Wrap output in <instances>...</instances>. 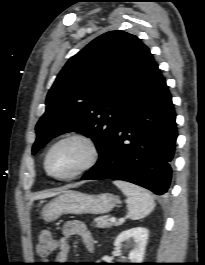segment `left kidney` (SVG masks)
Listing matches in <instances>:
<instances>
[{"label": "left kidney", "instance_id": "1", "mask_svg": "<svg viewBox=\"0 0 205 265\" xmlns=\"http://www.w3.org/2000/svg\"><path fill=\"white\" fill-rule=\"evenodd\" d=\"M148 233V230L143 227L125 230L117 236L114 246L119 247L122 242L128 241L133 246V249L129 252L128 259L132 263H141L147 244Z\"/></svg>", "mask_w": 205, "mask_h": 265}]
</instances>
